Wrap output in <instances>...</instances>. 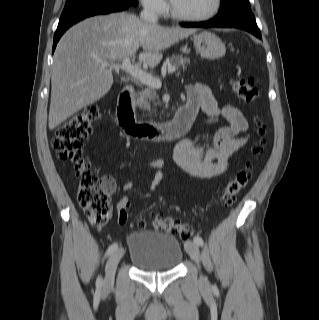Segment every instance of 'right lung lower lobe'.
Masks as SVG:
<instances>
[{
  "label": "right lung lower lobe",
  "instance_id": "1",
  "mask_svg": "<svg viewBox=\"0 0 319 320\" xmlns=\"http://www.w3.org/2000/svg\"><path fill=\"white\" fill-rule=\"evenodd\" d=\"M129 6H135L129 3H116V2H110V3H104L95 5L89 8H86L84 10H81L79 12H76L64 19H61L59 21L57 30L54 35V41H53V52L55 50L56 44L59 41L62 34L73 24L77 23L78 21L93 16L97 14H108L111 12H117L127 9Z\"/></svg>",
  "mask_w": 319,
  "mask_h": 320
}]
</instances>
